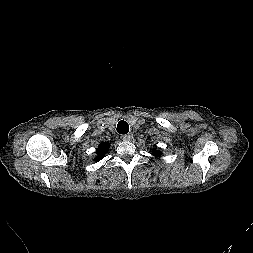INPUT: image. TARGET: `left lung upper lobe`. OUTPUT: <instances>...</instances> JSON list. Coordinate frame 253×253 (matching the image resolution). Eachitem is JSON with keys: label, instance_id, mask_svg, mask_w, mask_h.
<instances>
[{"label": "left lung upper lobe", "instance_id": "1", "mask_svg": "<svg viewBox=\"0 0 253 253\" xmlns=\"http://www.w3.org/2000/svg\"><path fill=\"white\" fill-rule=\"evenodd\" d=\"M152 154L155 155V156H160V152L156 151V150H154Z\"/></svg>", "mask_w": 253, "mask_h": 253}]
</instances>
